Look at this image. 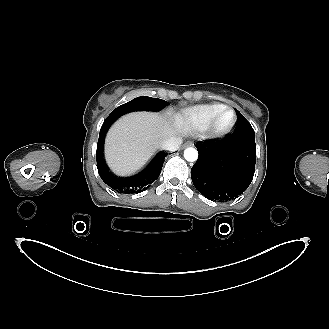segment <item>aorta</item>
<instances>
[{
	"mask_svg": "<svg viewBox=\"0 0 329 329\" xmlns=\"http://www.w3.org/2000/svg\"><path fill=\"white\" fill-rule=\"evenodd\" d=\"M184 158L189 162H194L198 159V151L192 147L186 148L184 150Z\"/></svg>",
	"mask_w": 329,
	"mask_h": 329,
	"instance_id": "aorta-1",
	"label": "aorta"
}]
</instances>
